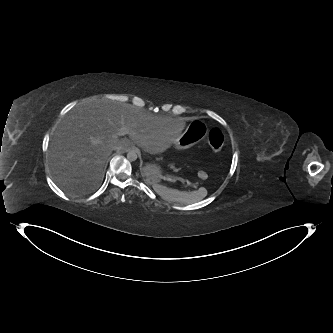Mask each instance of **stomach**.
Here are the masks:
<instances>
[{
  "instance_id": "1",
  "label": "stomach",
  "mask_w": 333,
  "mask_h": 333,
  "mask_svg": "<svg viewBox=\"0 0 333 333\" xmlns=\"http://www.w3.org/2000/svg\"><path fill=\"white\" fill-rule=\"evenodd\" d=\"M207 131L208 127L202 121H193L183 135L174 140L173 145L178 149L189 148L195 145L199 139L204 138ZM142 174L146 181L154 185L162 183L166 176L164 168L155 162L146 164Z\"/></svg>"
}]
</instances>
